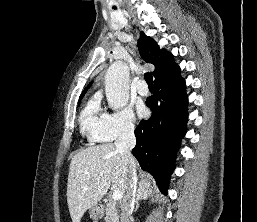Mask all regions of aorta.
I'll list each match as a JSON object with an SVG mask.
<instances>
[{"label": "aorta", "mask_w": 257, "mask_h": 222, "mask_svg": "<svg viewBox=\"0 0 257 222\" xmlns=\"http://www.w3.org/2000/svg\"><path fill=\"white\" fill-rule=\"evenodd\" d=\"M105 92L113 110L125 107L129 101V68L123 61L110 65L105 75Z\"/></svg>", "instance_id": "1"}]
</instances>
